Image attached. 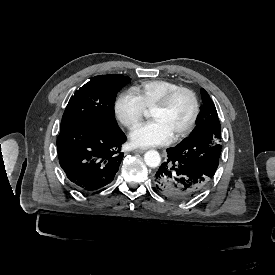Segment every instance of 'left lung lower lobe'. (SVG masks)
I'll return each instance as SVG.
<instances>
[{"mask_svg": "<svg viewBox=\"0 0 275 275\" xmlns=\"http://www.w3.org/2000/svg\"><path fill=\"white\" fill-rule=\"evenodd\" d=\"M212 179L213 176L210 177L168 154L167 161L161 164L153 181L162 195L182 201L203 193L211 185Z\"/></svg>", "mask_w": 275, "mask_h": 275, "instance_id": "1", "label": "left lung lower lobe"}]
</instances>
